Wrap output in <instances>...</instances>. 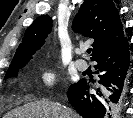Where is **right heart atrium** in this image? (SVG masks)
I'll return each instance as SVG.
<instances>
[{"instance_id":"right-heart-atrium-1","label":"right heart atrium","mask_w":133,"mask_h":118,"mask_svg":"<svg viewBox=\"0 0 133 118\" xmlns=\"http://www.w3.org/2000/svg\"><path fill=\"white\" fill-rule=\"evenodd\" d=\"M39 79L44 87H52L57 81V72L53 65H46L40 70Z\"/></svg>"}]
</instances>
